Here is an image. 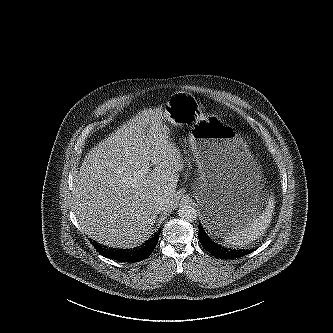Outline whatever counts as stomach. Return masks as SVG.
I'll return each instance as SVG.
<instances>
[{"label": "stomach", "instance_id": "obj_1", "mask_svg": "<svg viewBox=\"0 0 333 333\" xmlns=\"http://www.w3.org/2000/svg\"><path fill=\"white\" fill-rule=\"evenodd\" d=\"M164 118L175 125L191 123L189 143L198 166L194 197L203 213V227L220 243L266 210L270 190L247 143L217 118L203 117L196 98L188 93L169 97ZM159 130L170 134L161 122Z\"/></svg>", "mask_w": 333, "mask_h": 333}]
</instances>
